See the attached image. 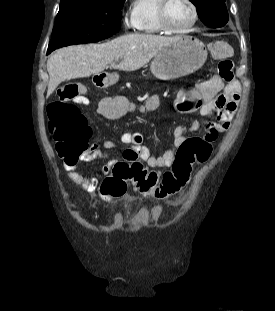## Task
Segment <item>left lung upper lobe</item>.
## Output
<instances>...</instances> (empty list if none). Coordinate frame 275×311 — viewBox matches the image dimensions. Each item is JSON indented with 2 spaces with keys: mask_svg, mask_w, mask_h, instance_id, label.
Returning <instances> with one entry per match:
<instances>
[{
  "mask_svg": "<svg viewBox=\"0 0 275 311\" xmlns=\"http://www.w3.org/2000/svg\"><path fill=\"white\" fill-rule=\"evenodd\" d=\"M198 9L201 21L211 28H219L228 22L225 0H190Z\"/></svg>",
  "mask_w": 275,
  "mask_h": 311,
  "instance_id": "1",
  "label": "left lung upper lobe"
}]
</instances>
